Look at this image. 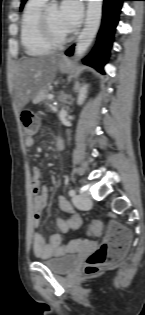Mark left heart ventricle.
<instances>
[{
	"label": "left heart ventricle",
	"instance_id": "b2bd125f",
	"mask_svg": "<svg viewBox=\"0 0 145 315\" xmlns=\"http://www.w3.org/2000/svg\"><path fill=\"white\" fill-rule=\"evenodd\" d=\"M49 18L52 32L56 38L62 39L70 33L56 6L49 7Z\"/></svg>",
	"mask_w": 145,
	"mask_h": 315
}]
</instances>
